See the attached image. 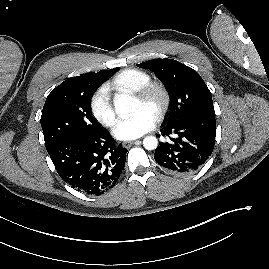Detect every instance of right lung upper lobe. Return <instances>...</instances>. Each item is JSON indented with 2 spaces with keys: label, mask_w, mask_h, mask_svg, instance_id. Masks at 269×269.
Here are the masks:
<instances>
[{
  "label": "right lung upper lobe",
  "mask_w": 269,
  "mask_h": 269,
  "mask_svg": "<svg viewBox=\"0 0 269 269\" xmlns=\"http://www.w3.org/2000/svg\"><path fill=\"white\" fill-rule=\"evenodd\" d=\"M113 70L114 69H112V70H104V71H100V72H97V73H87V74H84V75H81V76L72 77V78H69V79L65 80L61 84H67V83H72V82L87 81L88 79H90L93 76L108 74V73H111Z\"/></svg>",
  "instance_id": "obj_1"
}]
</instances>
